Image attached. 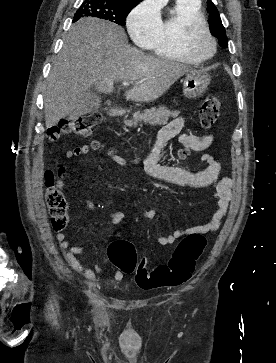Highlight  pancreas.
Listing matches in <instances>:
<instances>
[{"label": "pancreas", "instance_id": "obj_1", "mask_svg": "<svg viewBox=\"0 0 276 363\" xmlns=\"http://www.w3.org/2000/svg\"><path fill=\"white\" fill-rule=\"evenodd\" d=\"M178 115V111H170L166 107H154L145 110L143 114L134 113L131 119L124 120V125L128 127L137 126L142 121L151 125H165L170 117H177Z\"/></svg>", "mask_w": 276, "mask_h": 363}]
</instances>
